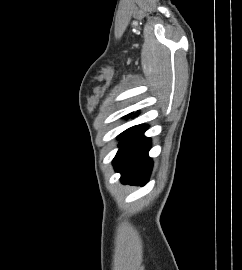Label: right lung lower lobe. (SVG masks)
<instances>
[{
	"label": "right lung lower lobe",
	"instance_id": "obj_1",
	"mask_svg": "<svg viewBox=\"0 0 242 270\" xmlns=\"http://www.w3.org/2000/svg\"><path fill=\"white\" fill-rule=\"evenodd\" d=\"M145 125L131 127L119 136L120 149L116 154L113 165L122 174L123 183L145 185L152 170V160L148 157L150 138L143 135Z\"/></svg>",
	"mask_w": 242,
	"mask_h": 270
}]
</instances>
